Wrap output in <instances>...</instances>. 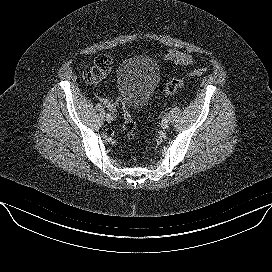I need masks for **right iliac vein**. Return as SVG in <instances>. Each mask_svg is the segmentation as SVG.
<instances>
[{
  "label": "right iliac vein",
  "instance_id": "1",
  "mask_svg": "<svg viewBox=\"0 0 272 272\" xmlns=\"http://www.w3.org/2000/svg\"><path fill=\"white\" fill-rule=\"evenodd\" d=\"M106 120L110 123V122H112L113 121V117H112V115H110V117H106Z\"/></svg>",
  "mask_w": 272,
  "mask_h": 272
}]
</instances>
